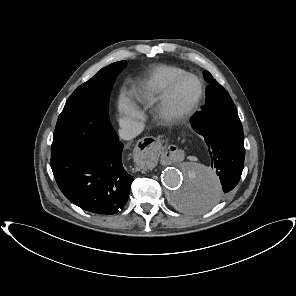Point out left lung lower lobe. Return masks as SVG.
Wrapping results in <instances>:
<instances>
[{
  "label": "left lung lower lobe",
  "mask_w": 296,
  "mask_h": 296,
  "mask_svg": "<svg viewBox=\"0 0 296 296\" xmlns=\"http://www.w3.org/2000/svg\"><path fill=\"white\" fill-rule=\"evenodd\" d=\"M190 122L206 145L221 187L208 191L190 182L181 193L180 204L187 210L204 211L227 196L240 180L245 157L243 128L228 93L207 100Z\"/></svg>",
  "instance_id": "0a47b994"
}]
</instances>
